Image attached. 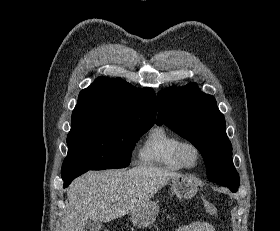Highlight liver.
Instances as JSON below:
<instances>
[{"label":"liver","instance_id":"6515ba94","mask_svg":"<svg viewBox=\"0 0 280 231\" xmlns=\"http://www.w3.org/2000/svg\"><path fill=\"white\" fill-rule=\"evenodd\" d=\"M179 175L152 165L87 171L67 187L69 207L62 217L61 231H83L90 219L111 221L139 209L171 177Z\"/></svg>","mask_w":280,"mask_h":231}]
</instances>
